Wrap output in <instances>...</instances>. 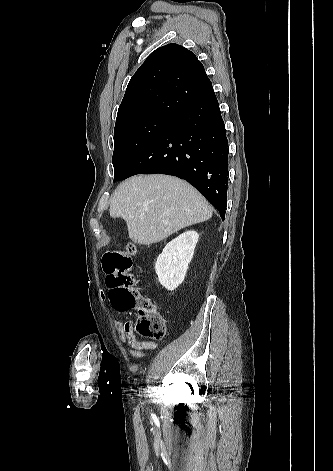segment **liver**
I'll return each mask as SVG.
<instances>
[{
  "instance_id": "1",
  "label": "liver",
  "mask_w": 333,
  "mask_h": 471,
  "mask_svg": "<svg viewBox=\"0 0 333 471\" xmlns=\"http://www.w3.org/2000/svg\"><path fill=\"white\" fill-rule=\"evenodd\" d=\"M110 216L125 220L129 238L150 245L193 224L207 221L212 208L189 183L153 174L122 182L111 196Z\"/></svg>"
}]
</instances>
